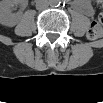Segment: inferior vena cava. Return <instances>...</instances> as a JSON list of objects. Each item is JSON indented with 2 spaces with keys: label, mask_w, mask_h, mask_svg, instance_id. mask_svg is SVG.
Listing matches in <instances>:
<instances>
[{
  "label": "inferior vena cava",
  "mask_w": 103,
  "mask_h": 103,
  "mask_svg": "<svg viewBox=\"0 0 103 103\" xmlns=\"http://www.w3.org/2000/svg\"><path fill=\"white\" fill-rule=\"evenodd\" d=\"M49 7V2L46 0H38L36 2V9L37 10H44L47 9Z\"/></svg>",
  "instance_id": "inferior-vena-cava-1"
}]
</instances>
